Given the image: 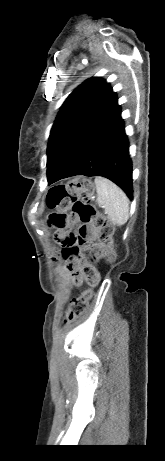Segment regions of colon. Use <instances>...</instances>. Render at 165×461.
Returning <instances> with one entry per match:
<instances>
[{"label":"colon","instance_id":"obj_1","mask_svg":"<svg viewBox=\"0 0 165 461\" xmlns=\"http://www.w3.org/2000/svg\"><path fill=\"white\" fill-rule=\"evenodd\" d=\"M91 190L92 184L87 178L75 179L51 188L46 197V204L48 208L55 211L49 215L48 222L50 226L57 229H64L74 218L79 219L84 225H96L98 234L96 256L102 258L112 250L114 225L98 214L90 203ZM82 271L90 288L71 300L65 324L77 321L86 312L93 296L92 288L100 281L99 273L92 264L86 263Z\"/></svg>","mask_w":165,"mask_h":461}]
</instances>
